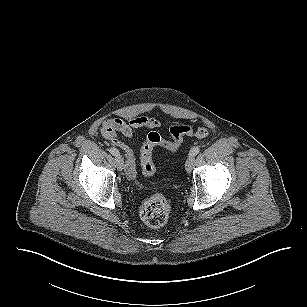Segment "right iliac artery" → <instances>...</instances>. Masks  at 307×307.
Returning a JSON list of instances; mask_svg holds the SVG:
<instances>
[{"label":"right iliac artery","instance_id":"82829eb1","mask_svg":"<svg viewBox=\"0 0 307 307\" xmlns=\"http://www.w3.org/2000/svg\"><path fill=\"white\" fill-rule=\"evenodd\" d=\"M109 152H110L112 155H114V156H119V155H120L119 151H118L116 148H110V149H109Z\"/></svg>","mask_w":307,"mask_h":307}]
</instances>
